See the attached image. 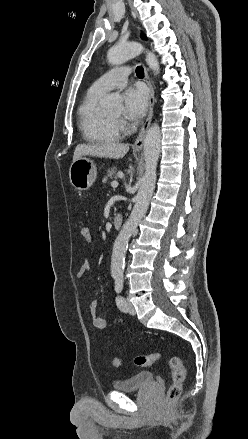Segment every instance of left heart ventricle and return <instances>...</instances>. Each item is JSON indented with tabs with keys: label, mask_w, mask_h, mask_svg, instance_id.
<instances>
[{
	"label": "left heart ventricle",
	"mask_w": 248,
	"mask_h": 439,
	"mask_svg": "<svg viewBox=\"0 0 248 439\" xmlns=\"http://www.w3.org/2000/svg\"><path fill=\"white\" fill-rule=\"evenodd\" d=\"M109 116L112 117V118H121V116H122V109L121 108L117 109L116 111L110 113Z\"/></svg>",
	"instance_id": "b2bd125f"
}]
</instances>
